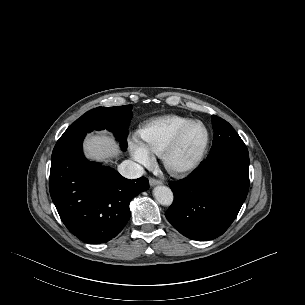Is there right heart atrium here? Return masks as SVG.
<instances>
[{"label": "right heart atrium", "mask_w": 305, "mask_h": 305, "mask_svg": "<svg viewBox=\"0 0 305 305\" xmlns=\"http://www.w3.org/2000/svg\"><path fill=\"white\" fill-rule=\"evenodd\" d=\"M130 152L132 158L140 164L149 166L152 163L151 153L142 145V143L135 139L130 143Z\"/></svg>", "instance_id": "right-heart-atrium-1"}]
</instances>
